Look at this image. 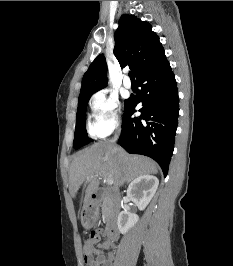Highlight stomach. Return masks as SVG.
<instances>
[{
    "mask_svg": "<svg viewBox=\"0 0 233 266\" xmlns=\"http://www.w3.org/2000/svg\"><path fill=\"white\" fill-rule=\"evenodd\" d=\"M83 215H84L82 217L83 225L86 227H90L95 220V216H96L95 213L92 211L86 210V212Z\"/></svg>",
    "mask_w": 233,
    "mask_h": 266,
    "instance_id": "0dacf381",
    "label": "stomach"
}]
</instances>
